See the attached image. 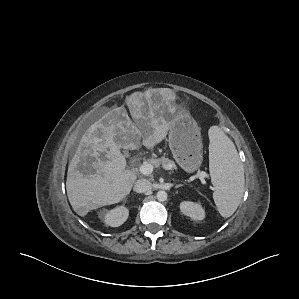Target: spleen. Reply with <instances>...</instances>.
<instances>
[{"label": "spleen", "instance_id": "3e777b00", "mask_svg": "<svg viewBox=\"0 0 299 299\" xmlns=\"http://www.w3.org/2000/svg\"><path fill=\"white\" fill-rule=\"evenodd\" d=\"M208 135L209 171L215 187L213 199L220 215L228 218L243 196L244 170L234 143L218 126H211Z\"/></svg>", "mask_w": 299, "mask_h": 299}]
</instances>
